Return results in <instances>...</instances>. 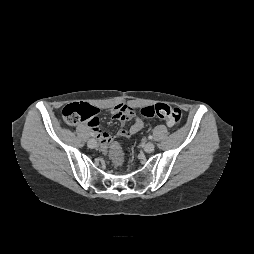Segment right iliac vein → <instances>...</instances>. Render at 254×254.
Segmentation results:
<instances>
[{"instance_id": "obj_1", "label": "right iliac vein", "mask_w": 254, "mask_h": 254, "mask_svg": "<svg viewBox=\"0 0 254 254\" xmlns=\"http://www.w3.org/2000/svg\"><path fill=\"white\" fill-rule=\"evenodd\" d=\"M87 145H88L89 148H92V149H93V148H95V147L97 146V142H96L95 139H90V140L88 141Z\"/></svg>"}]
</instances>
